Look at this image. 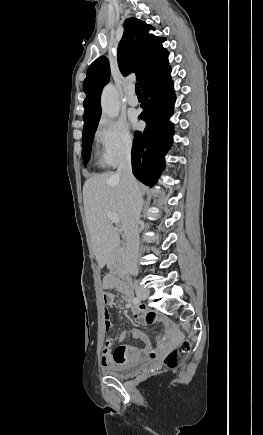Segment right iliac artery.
Segmentation results:
<instances>
[{"label":"right iliac artery","instance_id":"obj_1","mask_svg":"<svg viewBox=\"0 0 263 435\" xmlns=\"http://www.w3.org/2000/svg\"><path fill=\"white\" fill-rule=\"evenodd\" d=\"M133 302H134L135 304L140 303V298H139V297H134V298H133Z\"/></svg>","mask_w":263,"mask_h":435}]
</instances>
